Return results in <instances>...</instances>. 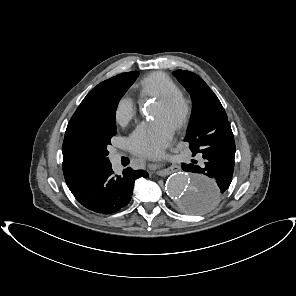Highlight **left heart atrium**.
I'll return each instance as SVG.
<instances>
[{
    "mask_svg": "<svg viewBox=\"0 0 296 296\" xmlns=\"http://www.w3.org/2000/svg\"><path fill=\"white\" fill-rule=\"evenodd\" d=\"M174 127L161 118L138 125L128 137L130 150L139 156L156 157L169 144Z\"/></svg>",
    "mask_w": 296,
    "mask_h": 296,
    "instance_id": "obj_1",
    "label": "left heart atrium"
}]
</instances>
